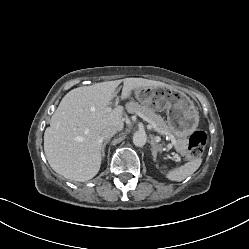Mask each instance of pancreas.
<instances>
[{"label":"pancreas","mask_w":249,"mask_h":249,"mask_svg":"<svg viewBox=\"0 0 249 249\" xmlns=\"http://www.w3.org/2000/svg\"><path fill=\"white\" fill-rule=\"evenodd\" d=\"M126 109L129 113H141L144 116H146L147 118H149L154 124H156V128H154L157 132H164L167 134H172L174 136H176L177 138V143H176V149L181 152V153H185L186 149H187V137L186 136H178L177 132L174 131L171 127H169L164 119L160 116L157 115L156 113H154L151 109L142 106L140 104H138L137 102H129L126 104Z\"/></svg>","instance_id":"cf45deb5"}]
</instances>
